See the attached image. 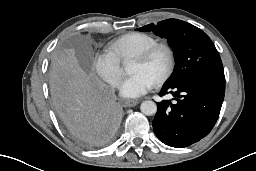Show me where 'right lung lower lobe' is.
<instances>
[{"label":"right lung lower lobe","mask_w":256,"mask_h":171,"mask_svg":"<svg viewBox=\"0 0 256 171\" xmlns=\"http://www.w3.org/2000/svg\"><path fill=\"white\" fill-rule=\"evenodd\" d=\"M55 108L68 133L84 146L106 145L121 123L120 106L113 91L104 84L58 100Z\"/></svg>","instance_id":"1"}]
</instances>
